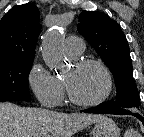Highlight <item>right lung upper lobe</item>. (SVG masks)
<instances>
[{
	"label": "right lung upper lobe",
	"mask_w": 144,
	"mask_h": 137,
	"mask_svg": "<svg viewBox=\"0 0 144 137\" xmlns=\"http://www.w3.org/2000/svg\"><path fill=\"white\" fill-rule=\"evenodd\" d=\"M38 8L27 3L13 7L0 21V62L34 58L41 30Z\"/></svg>",
	"instance_id": "1"
}]
</instances>
